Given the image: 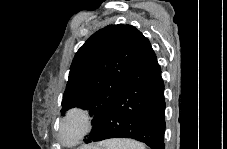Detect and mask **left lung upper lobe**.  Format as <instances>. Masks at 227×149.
Returning a JSON list of instances; mask_svg holds the SVG:
<instances>
[{"mask_svg": "<svg viewBox=\"0 0 227 149\" xmlns=\"http://www.w3.org/2000/svg\"><path fill=\"white\" fill-rule=\"evenodd\" d=\"M144 40L131 25H109L94 33L72 61L62 111L89 110L94 130L124 86Z\"/></svg>", "mask_w": 227, "mask_h": 149, "instance_id": "1", "label": "left lung upper lobe"}]
</instances>
